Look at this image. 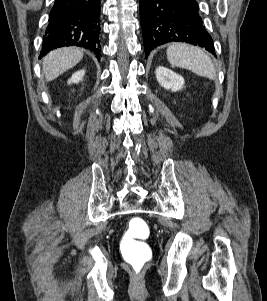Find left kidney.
<instances>
[{
	"label": "left kidney",
	"instance_id": "5707ae66",
	"mask_svg": "<svg viewBox=\"0 0 267 301\" xmlns=\"http://www.w3.org/2000/svg\"><path fill=\"white\" fill-rule=\"evenodd\" d=\"M156 78L158 83L165 89L173 92L179 91L183 88L185 83L182 76L176 74L172 70L159 66L156 68Z\"/></svg>",
	"mask_w": 267,
	"mask_h": 301
}]
</instances>
